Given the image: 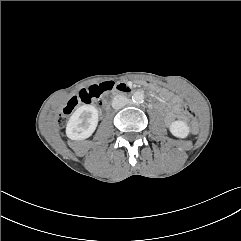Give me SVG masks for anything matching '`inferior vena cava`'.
Listing matches in <instances>:
<instances>
[{"label":"inferior vena cava","mask_w":241,"mask_h":241,"mask_svg":"<svg viewBox=\"0 0 241 241\" xmlns=\"http://www.w3.org/2000/svg\"><path fill=\"white\" fill-rule=\"evenodd\" d=\"M128 103V99L123 95H116L112 100L114 109H121Z\"/></svg>","instance_id":"inferior-vena-cava-1"}]
</instances>
